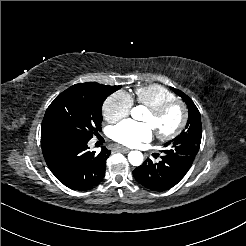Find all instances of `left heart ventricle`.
I'll return each mask as SVG.
<instances>
[{"label":"left heart ventricle","mask_w":246,"mask_h":246,"mask_svg":"<svg viewBox=\"0 0 246 246\" xmlns=\"http://www.w3.org/2000/svg\"><path fill=\"white\" fill-rule=\"evenodd\" d=\"M181 117L179 108H173L159 119H153L147 112L144 122L149 124L156 133H167L175 128Z\"/></svg>","instance_id":"b2bd125f"}]
</instances>
